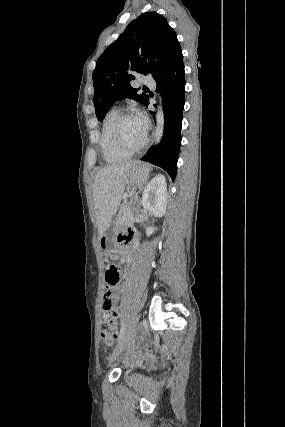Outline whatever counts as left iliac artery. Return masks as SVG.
Returning a JSON list of instances; mask_svg holds the SVG:
<instances>
[{
    "label": "left iliac artery",
    "mask_w": 285,
    "mask_h": 427,
    "mask_svg": "<svg viewBox=\"0 0 285 427\" xmlns=\"http://www.w3.org/2000/svg\"><path fill=\"white\" fill-rule=\"evenodd\" d=\"M125 335V323L122 324L121 329H120V333L118 336V341H120Z\"/></svg>",
    "instance_id": "obj_1"
}]
</instances>
